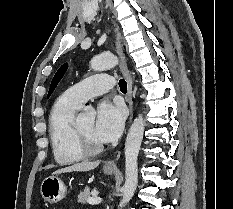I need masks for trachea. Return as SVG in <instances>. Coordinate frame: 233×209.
<instances>
[{"label": "trachea", "instance_id": "3493384b", "mask_svg": "<svg viewBox=\"0 0 233 209\" xmlns=\"http://www.w3.org/2000/svg\"><path fill=\"white\" fill-rule=\"evenodd\" d=\"M119 87H120V90L123 92V93H126L127 91V83L124 79H120L119 80Z\"/></svg>", "mask_w": 233, "mask_h": 209}]
</instances>
